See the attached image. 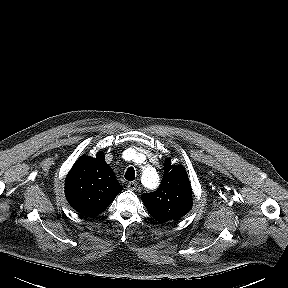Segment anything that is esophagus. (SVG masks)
<instances>
[{
	"label": "esophagus",
	"mask_w": 288,
	"mask_h": 288,
	"mask_svg": "<svg viewBox=\"0 0 288 288\" xmlns=\"http://www.w3.org/2000/svg\"><path fill=\"white\" fill-rule=\"evenodd\" d=\"M127 187L129 190L135 191L138 188V185L136 182H129Z\"/></svg>",
	"instance_id": "1"
}]
</instances>
